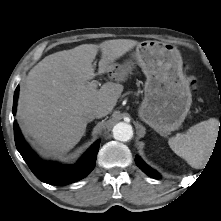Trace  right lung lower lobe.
I'll use <instances>...</instances> for the list:
<instances>
[{
    "label": "right lung lower lobe",
    "mask_w": 221,
    "mask_h": 221,
    "mask_svg": "<svg viewBox=\"0 0 221 221\" xmlns=\"http://www.w3.org/2000/svg\"><path fill=\"white\" fill-rule=\"evenodd\" d=\"M19 87L14 93L13 114L16 112ZM14 138L16 148L34 173L42 182L51 185H66L87 176L95 167L99 149V140L96 141L74 165H61L56 162L41 160L24 140L18 124L14 122Z\"/></svg>",
    "instance_id": "obj_1"
}]
</instances>
